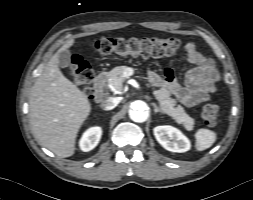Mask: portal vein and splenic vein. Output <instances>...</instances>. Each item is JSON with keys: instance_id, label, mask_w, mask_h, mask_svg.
I'll return each instance as SVG.
<instances>
[{"instance_id": "18ae733b", "label": "portal vein and splenic vein", "mask_w": 253, "mask_h": 200, "mask_svg": "<svg viewBox=\"0 0 253 200\" xmlns=\"http://www.w3.org/2000/svg\"><path fill=\"white\" fill-rule=\"evenodd\" d=\"M133 73H132V70H129L128 72H125L124 73V77H128V76H131Z\"/></svg>"}]
</instances>
